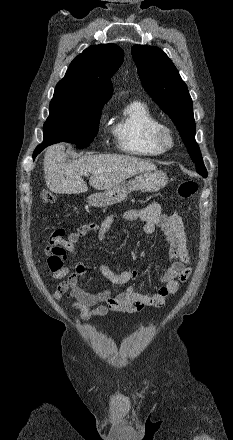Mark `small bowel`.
Instances as JSON below:
<instances>
[{"mask_svg": "<svg viewBox=\"0 0 233 440\" xmlns=\"http://www.w3.org/2000/svg\"><path fill=\"white\" fill-rule=\"evenodd\" d=\"M144 222L146 234H152L159 228L168 246L166 258L153 266V272L163 271L160 286L153 294H142L132 287L112 295L110 292L91 293L79 286V278L86 272V266L76 255L75 245L89 233H94L99 243H103L106 233L116 220ZM66 231L57 228L49 237L44 247L47 266L53 279H63L58 284L53 297L65 299L79 309L82 321L94 316L104 317L110 312L136 314L145 307L161 308L167 299L177 293L191 274V256L189 254L184 224L178 213L164 214L158 202H151L141 209H132L108 215L101 224L80 225L65 237ZM69 256L71 264L63 265V258ZM101 275L114 285H125L137 277L135 270L116 273L107 265L99 266Z\"/></svg>", "mask_w": 233, "mask_h": 440, "instance_id": "1", "label": "small bowel"}]
</instances>
